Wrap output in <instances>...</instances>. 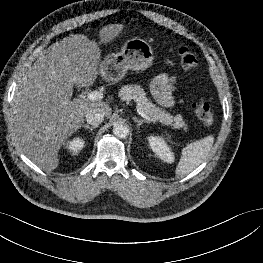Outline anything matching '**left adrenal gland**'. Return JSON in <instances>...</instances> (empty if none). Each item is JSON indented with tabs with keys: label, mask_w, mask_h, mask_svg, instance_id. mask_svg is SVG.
<instances>
[{
	"label": "left adrenal gland",
	"mask_w": 263,
	"mask_h": 263,
	"mask_svg": "<svg viewBox=\"0 0 263 263\" xmlns=\"http://www.w3.org/2000/svg\"><path fill=\"white\" fill-rule=\"evenodd\" d=\"M133 120L135 123H137V127L140 128V126L144 123H150L148 120L138 119L136 117H133Z\"/></svg>",
	"instance_id": "a2214340"
}]
</instances>
